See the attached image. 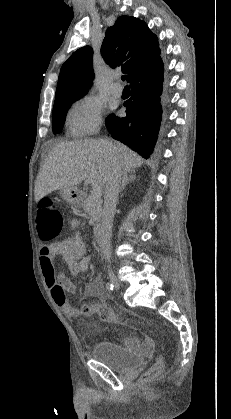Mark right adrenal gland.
Returning a JSON list of instances; mask_svg holds the SVG:
<instances>
[{"instance_id": "2a0ac1e0", "label": "right adrenal gland", "mask_w": 231, "mask_h": 419, "mask_svg": "<svg viewBox=\"0 0 231 419\" xmlns=\"http://www.w3.org/2000/svg\"><path fill=\"white\" fill-rule=\"evenodd\" d=\"M136 179L135 171L130 172H123L122 180H121V186H120V192H122L127 184L129 182L134 181Z\"/></svg>"}]
</instances>
